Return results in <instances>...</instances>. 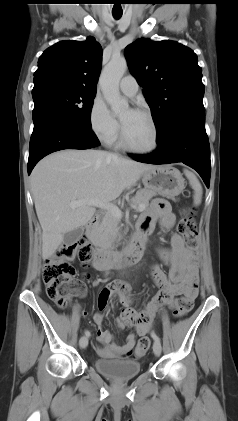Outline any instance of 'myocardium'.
Segmentation results:
<instances>
[{
  "label": "myocardium",
  "instance_id": "myocardium-1",
  "mask_svg": "<svg viewBox=\"0 0 238 421\" xmlns=\"http://www.w3.org/2000/svg\"><path fill=\"white\" fill-rule=\"evenodd\" d=\"M137 113H140L144 116H146L148 118V120L150 121L152 128H153V134H154V138H153V144L151 147L147 148V149H139L136 148L134 146H132L126 135H125V131L123 128L122 123L120 124V140H121V145L128 151L135 153V154H141V155H147V154H151L153 152H155L158 147H159V140H160V133H159V128H158V124L154 118V116L152 115V113L144 108H137L135 110H133Z\"/></svg>",
  "mask_w": 238,
  "mask_h": 421
}]
</instances>
